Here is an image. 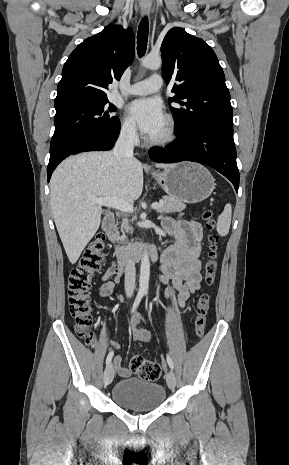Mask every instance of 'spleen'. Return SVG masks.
I'll use <instances>...</instances> for the list:
<instances>
[{
	"mask_svg": "<svg viewBox=\"0 0 289 465\" xmlns=\"http://www.w3.org/2000/svg\"><path fill=\"white\" fill-rule=\"evenodd\" d=\"M232 216L231 204H226L223 212L220 214L217 220V232L220 236H226L230 229Z\"/></svg>",
	"mask_w": 289,
	"mask_h": 465,
	"instance_id": "obj_1",
	"label": "spleen"
}]
</instances>
